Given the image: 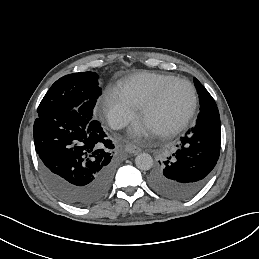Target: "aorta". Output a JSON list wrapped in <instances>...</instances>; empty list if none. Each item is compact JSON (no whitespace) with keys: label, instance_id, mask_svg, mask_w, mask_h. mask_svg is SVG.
<instances>
[{"label":"aorta","instance_id":"aorta-1","mask_svg":"<svg viewBox=\"0 0 259 259\" xmlns=\"http://www.w3.org/2000/svg\"><path fill=\"white\" fill-rule=\"evenodd\" d=\"M136 167L142 171H147L153 166V158L148 153H140L135 158Z\"/></svg>","mask_w":259,"mask_h":259}]
</instances>
